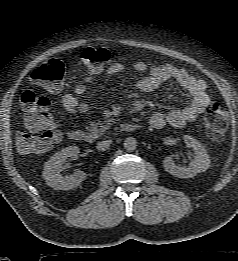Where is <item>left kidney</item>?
Returning a JSON list of instances; mask_svg holds the SVG:
<instances>
[{
  "label": "left kidney",
  "instance_id": "left-kidney-1",
  "mask_svg": "<svg viewBox=\"0 0 238 261\" xmlns=\"http://www.w3.org/2000/svg\"><path fill=\"white\" fill-rule=\"evenodd\" d=\"M185 144L193 148L194 160L188 167L177 166L171 156L163 160L164 169L171 175L178 178H191L197 173L205 172L210 167V158L206 150L195 138L189 135L184 136Z\"/></svg>",
  "mask_w": 238,
  "mask_h": 261
}]
</instances>
